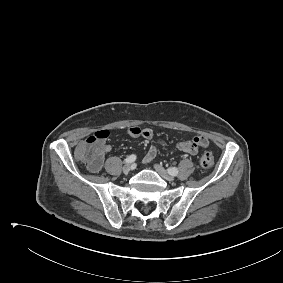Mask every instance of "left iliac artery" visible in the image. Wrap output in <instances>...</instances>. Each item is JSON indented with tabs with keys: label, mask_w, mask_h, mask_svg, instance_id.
<instances>
[{
	"label": "left iliac artery",
	"mask_w": 283,
	"mask_h": 283,
	"mask_svg": "<svg viewBox=\"0 0 283 283\" xmlns=\"http://www.w3.org/2000/svg\"><path fill=\"white\" fill-rule=\"evenodd\" d=\"M169 174L176 176L178 174V168L177 167H170L168 169Z\"/></svg>",
	"instance_id": "1"
}]
</instances>
